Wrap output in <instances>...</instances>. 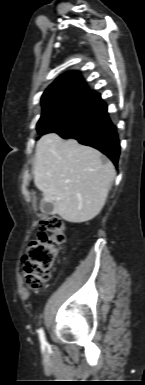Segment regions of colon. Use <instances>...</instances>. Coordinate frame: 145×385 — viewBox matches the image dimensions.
Returning <instances> with one entry per match:
<instances>
[{
  "label": "colon",
  "instance_id": "colon-1",
  "mask_svg": "<svg viewBox=\"0 0 145 385\" xmlns=\"http://www.w3.org/2000/svg\"><path fill=\"white\" fill-rule=\"evenodd\" d=\"M63 242L64 222L60 217L48 216L39 221L38 238L29 244L23 257V271L32 290H39L49 281Z\"/></svg>",
  "mask_w": 145,
  "mask_h": 385
}]
</instances>
